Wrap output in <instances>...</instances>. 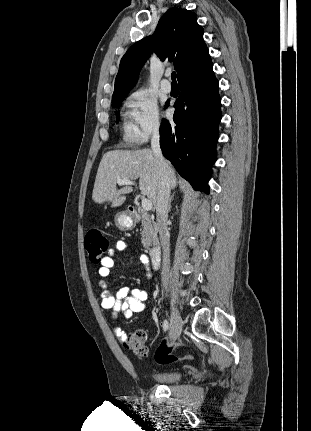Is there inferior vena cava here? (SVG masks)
Masks as SVG:
<instances>
[{
  "label": "inferior vena cava",
  "mask_w": 311,
  "mask_h": 431,
  "mask_svg": "<svg viewBox=\"0 0 311 431\" xmlns=\"http://www.w3.org/2000/svg\"><path fill=\"white\" fill-rule=\"evenodd\" d=\"M151 150L158 162V192H157V204H156V219L158 225V231L163 245V263L161 269V277L163 285V293H168V279L170 271V233L168 231V212H169V196H170V184L168 182V176L165 168V162L160 148V132L159 124H156L151 140Z\"/></svg>",
  "instance_id": "inferior-vena-cava-1"
}]
</instances>
